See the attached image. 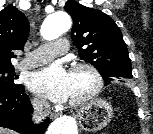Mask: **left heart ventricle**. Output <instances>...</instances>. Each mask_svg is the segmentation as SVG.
Segmentation results:
<instances>
[{"label":"left heart ventricle","instance_id":"obj_1","mask_svg":"<svg viewBox=\"0 0 153 134\" xmlns=\"http://www.w3.org/2000/svg\"><path fill=\"white\" fill-rule=\"evenodd\" d=\"M71 90L69 100L77 99L85 95L93 85V80L86 70L70 72Z\"/></svg>","mask_w":153,"mask_h":134}]
</instances>
